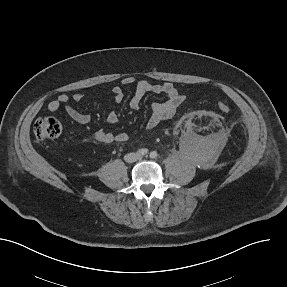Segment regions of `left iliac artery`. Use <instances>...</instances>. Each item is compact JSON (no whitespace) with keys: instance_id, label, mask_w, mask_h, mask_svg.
<instances>
[{"instance_id":"1","label":"left iliac artery","mask_w":287,"mask_h":287,"mask_svg":"<svg viewBox=\"0 0 287 287\" xmlns=\"http://www.w3.org/2000/svg\"><path fill=\"white\" fill-rule=\"evenodd\" d=\"M157 152L156 151H152L151 153H150V157L151 158H156L157 157Z\"/></svg>"}]
</instances>
